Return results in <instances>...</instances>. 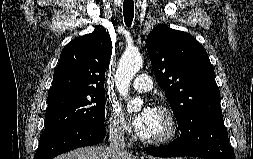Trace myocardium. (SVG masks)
I'll return each mask as SVG.
<instances>
[{"mask_svg":"<svg viewBox=\"0 0 253 159\" xmlns=\"http://www.w3.org/2000/svg\"><path fill=\"white\" fill-rule=\"evenodd\" d=\"M155 110L159 111L165 117L167 131L163 135L155 138L143 136L141 133H138V136L143 143L149 145H164L173 141L177 137L179 133V125L174 114L167 107L157 105L155 106Z\"/></svg>","mask_w":253,"mask_h":159,"instance_id":"f54148a6","label":"myocardium"}]
</instances>
